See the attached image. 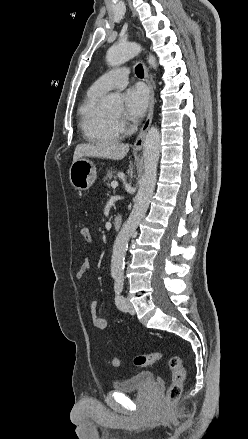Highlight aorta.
<instances>
[{
    "label": "aorta",
    "instance_id": "obj_1",
    "mask_svg": "<svg viewBox=\"0 0 248 439\" xmlns=\"http://www.w3.org/2000/svg\"><path fill=\"white\" fill-rule=\"evenodd\" d=\"M140 51L141 46L135 42L114 45L108 49L106 60L109 66H118L135 57ZM148 63L153 68L157 67L156 59L152 55L149 56ZM102 105L106 110H114L120 105L119 97L116 95H108L103 99ZM160 140L159 129L154 126L151 127L144 141V173L135 196L134 206L113 245L111 274L114 276L123 275L129 239L144 218L154 193L160 153Z\"/></svg>",
    "mask_w": 248,
    "mask_h": 439
}]
</instances>
